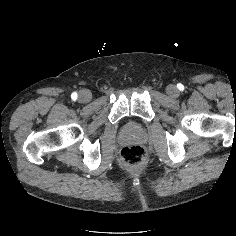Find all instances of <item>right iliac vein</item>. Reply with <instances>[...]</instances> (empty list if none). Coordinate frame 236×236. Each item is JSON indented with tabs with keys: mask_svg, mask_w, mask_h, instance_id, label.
<instances>
[{
	"mask_svg": "<svg viewBox=\"0 0 236 236\" xmlns=\"http://www.w3.org/2000/svg\"><path fill=\"white\" fill-rule=\"evenodd\" d=\"M91 100V93L89 90H81L78 95L80 103H88Z\"/></svg>",
	"mask_w": 236,
	"mask_h": 236,
	"instance_id": "1",
	"label": "right iliac vein"
}]
</instances>
